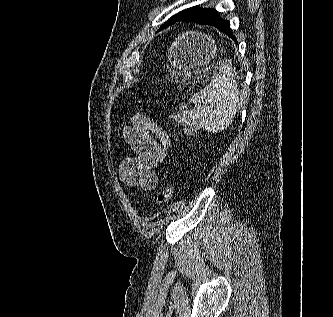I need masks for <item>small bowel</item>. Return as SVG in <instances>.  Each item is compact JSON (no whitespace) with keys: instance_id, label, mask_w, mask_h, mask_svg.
Returning a JSON list of instances; mask_svg holds the SVG:
<instances>
[{"instance_id":"1","label":"small bowel","mask_w":333,"mask_h":317,"mask_svg":"<svg viewBox=\"0 0 333 317\" xmlns=\"http://www.w3.org/2000/svg\"><path fill=\"white\" fill-rule=\"evenodd\" d=\"M123 137L135 156L121 161L120 180L129 187H140L147 192L155 190L157 170L171 146L168 132L147 115L137 112L123 129Z\"/></svg>"}]
</instances>
